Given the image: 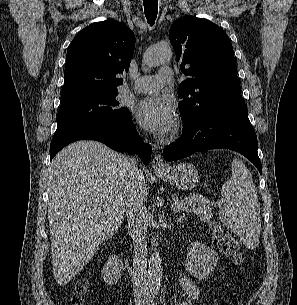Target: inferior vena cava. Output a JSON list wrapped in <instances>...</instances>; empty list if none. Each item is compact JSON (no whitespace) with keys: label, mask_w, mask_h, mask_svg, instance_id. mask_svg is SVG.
<instances>
[{"label":"inferior vena cava","mask_w":297,"mask_h":305,"mask_svg":"<svg viewBox=\"0 0 297 305\" xmlns=\"http://www.w3.org/2000/svg\"><path fill=\"white\" fill-rule=\"evenodd\" d=\"M125 168L128 174V184L125 193V215L128 230L134 243L133 259V293L137 305L150 302L148 290L147 241L146 233L149 213L144 206V197L138 184L143 174L137 167L135 158H127Z\"/></svg>","instance_id":"602c4592"}]
</instances>
